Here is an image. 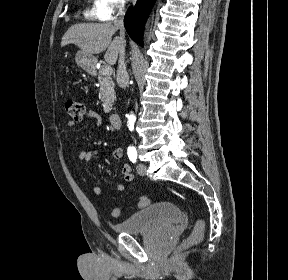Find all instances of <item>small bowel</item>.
<instances>
[{"label": "small bowel", "mask_w": 288, "mask_h": 280, "mask_svg": "<svg viewBox=\"0 0 288 280\" xmlns=\"http://www.w3.org/2000/svg\"><path fill=\"white\" fill-rule=\"evenodd\" d=\"M85 114L88 118L92 119L96 125L99 126L101 124V117L97 112L93 110H87ZM74 125L75 121L71 120L68 122L69 127H73ZM106 155L110 156L115 160H122L124 158V151L123 149L117 147L107 151ZM94 156L95 154L89 150L80 151L78 154V158L82 161H90ZM121 173L127 183L133 182L134 176L132 174V169L129 164L125 163L122 165ZM114 189L116 192H123L125 190V185L122 183H117ZM92 192L95 196H100L102 194V189L99 186H94Z\"/></svg>", "instance_id": "c3829d8e"}]
</instances>
